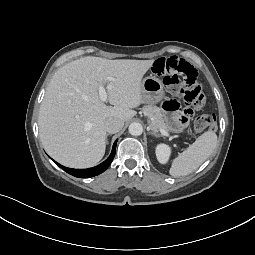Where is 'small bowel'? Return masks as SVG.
I'll list each match as a JSON object with an SVG mask.
<instances>
[{"instance_id": "1", "label": "small bowel", "mask_w": 255, "mask_h": 255, "mask_svg": "<svg viewBox=\"0 0 255 255\" xmlns=\"http://www.w3.org/2000/svg\"><path fill=\"white\" fill-rule=\"evenodd\" d=\"M163 108L166 112L167 118L171 121L173 128L177 131L183 130L187 124L189 116L179 111V105L174 100H168L164 103Z\"/></svg>"}]
</instances>
